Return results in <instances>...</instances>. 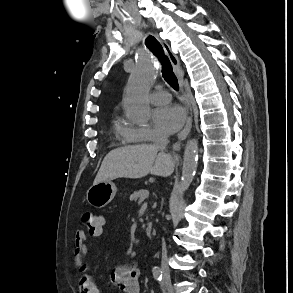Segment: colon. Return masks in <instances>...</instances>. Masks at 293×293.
Returning a JSON list of instances; mask_svg holds the SVG:
<instances>
[{
    "label": "colon",
    "mask_w": 293,
    "mask_h": 293,
    "mask_svg": "<svg viewBox=\"0 0 293 293\" xmlns=\"http://www.w3.org/2000/svg\"><path fill=\"white\" fill-rule=\"evenodd\" d=\"M81 221L83 226L89 231V233H94L102 227V221L98 214L92 211H84L81 215ZM97 289L93 287L90 293H96Z\"/></svg>",
    "instance_id": "colon-1"
}]
</instances>
